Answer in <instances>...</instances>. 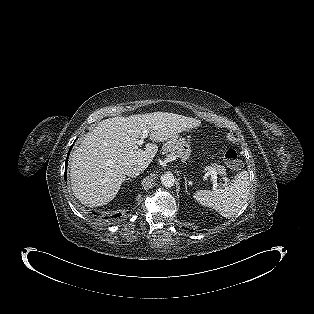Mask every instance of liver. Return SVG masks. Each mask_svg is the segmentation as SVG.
<instances>
[{
  "label": "liver",
  "mask_w": 314,
  "mask_h": 314,
  "mask_svg": "<svg viewBox=\"0 0 314 314\" xmlns=\"http://www.w3.org/2000/svg\"><path fill=\"white\" fill-rule=\"evenodd\" d=\"M200 124L195 118L168 112L102 120L71 154L70 180L75 197L88 207L106 205L118 193L128 165L136 163L146 169L158 147L154 143L146 144L144 150L138 147L143 130L150 132L153 142H164Z\"/></svg>",
  "instance_id": "1"
}]
</instances>
